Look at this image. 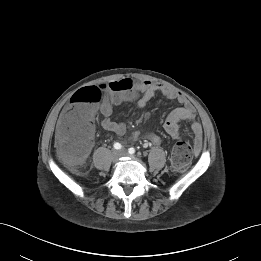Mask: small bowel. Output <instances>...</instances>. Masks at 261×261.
I'll list each match as a JSON object with an SVG mask.
<instances>
[{
	"mask_svg": "<svg viewBox=\"0 0 261 261\" xmlns=\"http://www.w3.org/2000/svg\"><path fill=\"white\" fill-rule=\"evenodd\" d=\"M156 92H160L166 98L176 100L181 104V107L172 110L167 115L164 122V128L166 132L173 138H178L180 136L179 123L181 121H189L191 123V131L194 136L195 146L197 151H199L202 143L203 129L201 124L195 119L192 106L181 92L164 85H158L151 82H138L134 84L131 89L111 92L110 96L103 101L100 107V113L103 118L101 123L102 127L107 131L117 135L124 134L126 130L125 125L113 119V106L124 102H134L136 108L140 109L143 108L152 99ZM70 109L71 105H66L60 117V121L65 113ZM88 128L89 137H91L96 129V119L94 114L89 121ZM139 136V132L133 133L134 139H137ZM147 138L151 143L154 144L160 142V137L157 134H150ZM56 139L58 143L61 142L62 136L59 133V130H57ZM92 145L93 143L91 141L89 151L92 148Z\"/></svg>",
	"mask_w": 261,
	"mask_h": 261,
	"instance_id": "obj_1",
	"label": "small bowel"
}]
</instances>
